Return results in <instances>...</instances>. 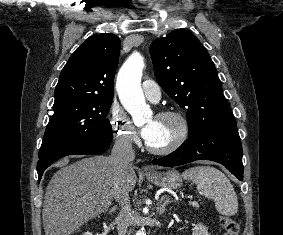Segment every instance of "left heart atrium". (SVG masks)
Instances as JSON below:
<instances>
[{
  "mask_svg": "<svg viewBox=\"0 0 283 235\" xmlns=\"http://www.w3.org/2000/svg\"><path fill=\"white\" fill-rule=\"evenodd\" d=\"M156 129H157V121L153 120L152 122L147 124L145 127H143V129L141 131L143 138L147 142H149L153 138V136L156 132Z\"/></svg>",
  "mask_w": 283,
  "mask_h": 235,
  "instance_id": "39dd6f15",
  "label": "left heart atrium"
}]
</instances>
